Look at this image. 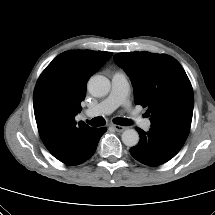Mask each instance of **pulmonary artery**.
<instances>
[{
  "label": "pulmonary artery",
  "instance_id": "pulmonary-artery-1",
  "mask_svg": "<svg viewBox=\"0 0 215 215\" xmlns=\"http://www.w3.org/2000/svg\"><path fill=\"white\" fill-rule=\"evenodd\" d=\"M128 81L126 74L122 71H117L112 76L111 92L100 103L85 111L86 116L95 117L103 116L111 113L118 106H129L128 102ZM131 119L133 122L139 124L142 128L148 129L151 125L150 121L144 119L140 114L131 111Z\"/></svg>",
  "mask_w": 215,
  "mask_h": 215
}]
</instances>
